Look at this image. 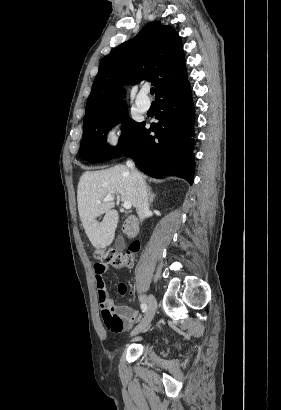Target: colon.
Wrapping results in <instances>:
<instances>
[{
  "instance_id": "5ec220e1",
  "label": "colon",
  "mask_w": 281,
  "mask_h": 410,
  "mask_svg": "<svg viewBox=\"0 0 281 410\" xmlns=\"http://www.w3.org/2000/svg\"><path fill=\"white\" fill-rule=\"evenodd\" d=\"M139 248L140 245L134 243L131 245L130 251L127 254H122L110 249L99 248L95 252V255L103 264L111 265L115 268H122L133 265L134 257L139 251ZM102 315L104 323L109 330L114 331L122 327L123 322L117 315L109 311L102 312Z\"/></svg>"
}]
</instances>
